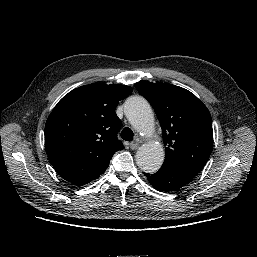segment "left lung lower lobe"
<instances>
[{"label":"left lung lower lobe","instance_id":"1","mask_svg":"<svg viewBox=\"0 0 257 257\" xmlns=\"http://www.w3.org/2000/svg\"><path fill=\"white\" fill-rule=\"evenodd\" d=\"M144 175L153 187L161 192L176 191L195 177L186 171L164 165L155 174L144 173Z\"/></svg>","mask_w":257,"mask_h":257}]
</instances>
